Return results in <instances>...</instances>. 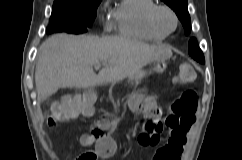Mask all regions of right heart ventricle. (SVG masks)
<instances>
[{
    "mask_svg": "<svg viewBox=\"0 0 242 160\" xmlns=\"http://www.w3.org/2000/svg\"><path fill=\"white\" fill-rule=\"evenodd\" d=\"M155 0H120L110 16V25L120 36L147 42H160L166 34L149 23V13Z\"/></svg>",
    "mask_w": 242,
    "mask_h": 160,
    "instance_id": "1",
    "label": "right heart ventricle"
}]
</instances>
